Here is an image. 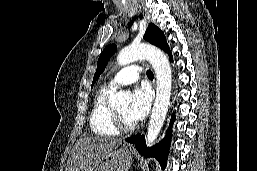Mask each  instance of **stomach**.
Segmentation results:
<instances>
[{
    "label": "stomach",
    "instance_id": "0dacf381",
    "mask_svg": "<svg viewBox=\"0 0 257 171\" xmlns=\"http://www.w3.org/2000/svg\"><path fill=\"white\" fill-rule=\"evenodd\" d=\"M132 163V152L118 149L108 153L95 171H128Z\"/></svg>",
    "mask_w": 257,
    "mask_h": 171
}]
</instances>
